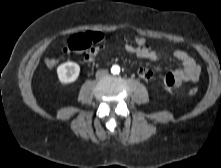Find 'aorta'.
<instances>
[{"label": "aorta", "instance_id": "762f6f07", "mask_svg": "<svg viewBox=\"0 0 221 168\" xmlns=\"http://www.w3.org/2000/svg\"><path fill=\"white\" fill-rule=\"evenodd\" d=\"M113 74H118L120 72V67L118 65H113L111 68Z\"/></svg>", "mask_w": 221, "mask_h": 168}]
</instances>
